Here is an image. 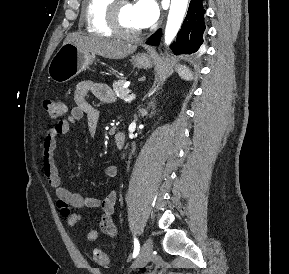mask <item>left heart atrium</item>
I'll use <instances>...</instances> for the list:
<instances>
[{"label":"left heart atrium","mask_w":289,"mask_h":274,"mask_svg":"<svg viewBox=\"0 0 289 274\" xmlns=\"http://www.w3.org/2000/svg\"><path fill=\"white\" fill-rule=\"evenodd\" d=\"M136 22L141 28L151 26L159 16V7L156 0H137L133 5Z\"/></svg>","instance_id":"left-heart-atrium-1"}]
</instances>
